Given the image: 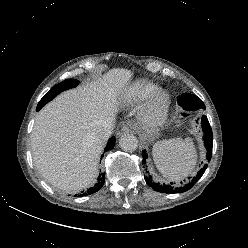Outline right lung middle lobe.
Masks as SVG:
<instances>
[{"label":"right lung middle lobe","mask_w":248,"mask_h":248,"mask_svg":"<svg viewBox=\"0 0 248 248\" xmlns=\"http://www.w3.org/2000/svg\"><path fill=\"white\" fill-rule=\"evenodd\" d=\"M78 84H79V81L75 79L64 80L63 82L52 87L51 90L38 103V106L42 107L43 105H45L47 102L52 100L56 95H58L62 91L74 88Z\"/></svg>","instance_id":"obj_1"}]
</instances>
